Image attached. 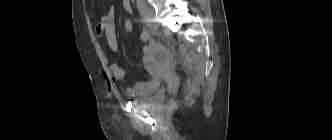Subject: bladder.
<instances>
[{
    "label": "bladder",
    "instance_id": "1",
    "mask_svg": "<svg viewBox=\"0 0 332 140\" xmlns=\"http://www.w3.org/2000/svg\"><path fill=\"white\" fill-rule=\"evenodd\" d=\"M147 89L144 93L131 99V102L137 106H149L162 99L160 80L152 79L145 83Z\"/></svg>",
    "mask_w": 332,
    "mask_h": 140
}]
</instances>
